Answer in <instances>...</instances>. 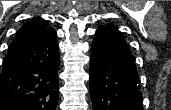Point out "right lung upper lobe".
Masks as SVG:
<instances>
[{"label":"right lung upper lobe","mask_w":171,"mask_h":110,"mask_svg":"<svg viewBox=\"0 0 171 110\" xmlns=\"http://www.w3.org/2000/svg\"><path fill=\"white\" fill-rule=\"evenodd\" d=\"M54 32L55 30L44 19L33 18L19 29L15 39L9 45L6 57L14 58L17 52L45 40Z\"/></svg>","instance_id":"1"}]
</instances>
